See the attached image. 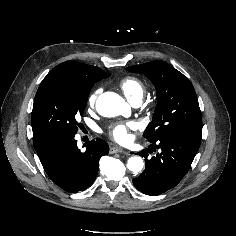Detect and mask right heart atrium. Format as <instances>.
Returning <instances> with one entry per match:
<instances>
[{
  "label": "right heart atrium",
  "instance_id": "obj_1",
  "mask_svg": "<svg viewBox=\"0 0 236 236\" xmlns=\"http://www.w3.org/2000/svg\"><path fill=\"white\" fill-rule=\"evenodd\" d=\"M99 94V90L94 91L88 98V105L90 107H93L96 103L97 96Z\"/></svg>",
  "mask_w": 236,
  "mask_h": 236
}]
</instances>
